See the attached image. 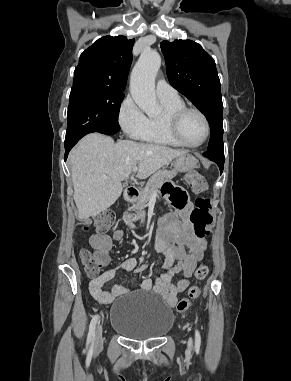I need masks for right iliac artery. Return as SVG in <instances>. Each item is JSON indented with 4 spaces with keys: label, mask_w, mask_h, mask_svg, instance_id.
<instances>
[{
    "label": "right iliac artery",
    "mask_w": 291,
    "mask_h": 381,
    "mask_svg": "<svg viewBox=\"0 0 291 381\" xmlns=\"http://www.w3.org/2000/svg\"><path fill=\"white\" fill-rule=\"evenodd\" d=\"M98 321V315H94L89 326V333H88V342L91 341L95 336V328Z\"/></svg>",
    "instance_id": "1"
}]
</instances>
